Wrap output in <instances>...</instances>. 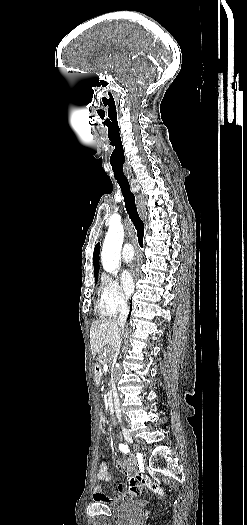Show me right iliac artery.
<instances>
[{
    "label": "right iliac artery",
    "instance_id": "right-iliac-artery-1",
    "mask_svg": "<svg viewBox=\"0 0 247 525\" xmlns=\"http://www.w3.org/2000/svg\"><path fill=\"white\" fill-rule=\"evenodd\" d=\"M119 449L125 454L130 452L129 447L125 444H119Z\"/></svg>",
    "mask_w": 247,
    "mask_h": 525
}]
</instances>
